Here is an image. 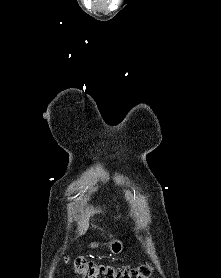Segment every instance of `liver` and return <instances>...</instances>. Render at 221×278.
Listing matches in <instances>:
<instances>
[{"label": "liver", "mask_w": 221, "mask_h": 278, "mask_svg": "<svg viewBox=\"0 0 221 278\" xmlns=\"http://www.w3.org/2000/svg\"><path fill=\"white\" fill-rule=\"evenodd\" d=\"M91 212L92 213H97V212H100V211L99 210H97V211L92 210ZM88 227H89L88 213H86V214L83 213L80 216V220L78 222V229H79L80 235L84 234L87 231Z\"/></svg>", "instance_id": "1"}]
</instances>
